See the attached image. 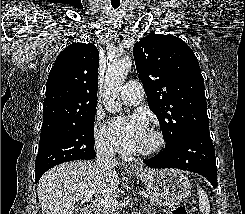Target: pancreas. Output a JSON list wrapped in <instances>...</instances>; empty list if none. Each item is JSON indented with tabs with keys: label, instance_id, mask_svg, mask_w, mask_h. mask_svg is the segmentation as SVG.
<instances>
[{
	"label": "pancreas",
	"instance_id": "obj_1",
	"mask_svg": "<svg viewBox=\"0 0 245 214\" xmlns=\"http://www.w3.org/2000/svg\"><path fill=\"white\" fill-rule=\"evenodd\" d=\"M150 204L157 205V206H168L171 205V202L162 198L161 196L157 195L152 191H148ZM98 214H119V207H99Z\"/></svg>",
	"mask_w": 245,
	"mask_h": 214
}]
</instances>
